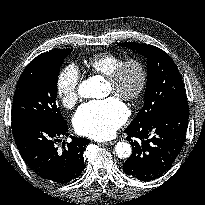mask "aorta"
I'll list each match as a JSON object with an SVG mask.
<instances>
[{
    "label": "aorta",
    "mask_w": 205,
    "mask_h": 205,
    "mask_svg": "<svg viewBox=\"0 0 205 205\" xmlns=\"http://www.w3.org/2000/svg\"><path fill=\"white\" fill-rule=\"evenodd\" d=\"M104 83L99 77H91L78 86V95L82 98H94L102 94ZM132 148L127 142H118L115 146V154L120 159H126L131 156Z\"/></svg>",
    "instance_id": "1"
}]
</instances>
